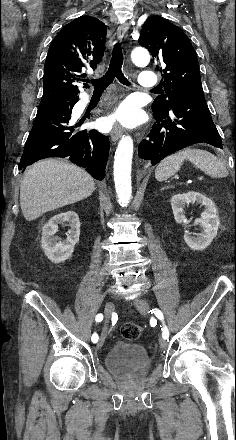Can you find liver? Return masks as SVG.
<instances>
[{
  "instance_id": "liver-1",
  "label": "liver",
  "mask_w": 236,
  "mask_h": 440,
  "mask_svg": "<svg viewBox=\"0 0 236 440\" xmlns=\"http://www.w3.org/2000/svg\"><path fill=\"white\" fill-rule=\"evenodd\" d=\"M95 190L93 178L79 167L54 159L34 164L20 186L24 218L33 221L42 214L76 203Z\"/></svg>"
}]
</instances>
